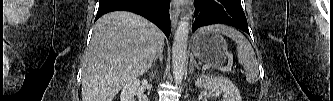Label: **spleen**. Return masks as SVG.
<instances>
[{
    "label": "spleen",
    "mask_w": 333,
    "mask_h": 101,
    "mask_svg": "<svg viewBox=\"0 0 333 101\" xmlns=\"http://www.w3.org/2000/svg\"><path fill=\"white\" fill-rule=\"evenodd\" d=\"M200 31L219 32L231 38L237 44L238 60L243 65L246 72V80L249 83H256L258 81V63L254 50L249 41L237 30L226 25L216 24L204 27Z\"/></svg>",
    "instance_id": "3e777b00"
}]
</instances>
